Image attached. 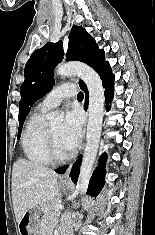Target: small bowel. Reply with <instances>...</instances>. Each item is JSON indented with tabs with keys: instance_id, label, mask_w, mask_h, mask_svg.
<instances>
[{
	"instance_id": "obj_1",
	"label": "small bowel",
	"mask_w": 155,
	"mask_h": 235,
	"mask_svg": "<svg viewBox=\"0 0 155 235\" xmlns=\"http://www.w3.org/2000/svg\"><path fill=\"white\" fill-rule=\"evenodd\" d=\"M39 235H49V232L45 230V231H42Z\"/></svg>"
}]
</instances>
